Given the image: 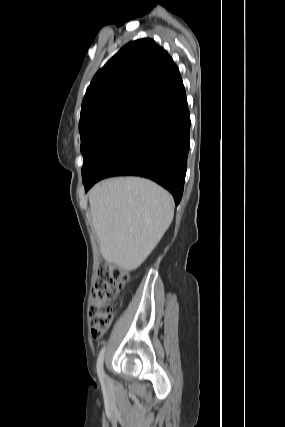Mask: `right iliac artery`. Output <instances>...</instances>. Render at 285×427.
<instances>
[{
  "label": "right iliac artery",
  "instance_id": "1",
  "mask_svg": "<svg viewBox=\"0 0 285 427\" xmlns=\"http://www.w3.org/2000/svg\"><path fill=\"white\" fill-rule=\"evenodd\" d=\"M104 353H105V347L101 350L98 360H97V374L101 382H104L105 379V373L103 370V359H104Z\"/></svg>",
  "mask_w": 285,
  "mask_h": 427
}]
</instances>
